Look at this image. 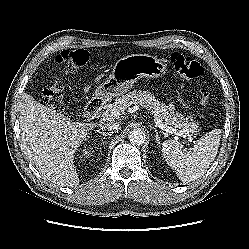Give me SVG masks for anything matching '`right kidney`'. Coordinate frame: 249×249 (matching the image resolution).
<instances>
[{
  "mask_svg": "<svg viewBox=\"0 0 249 249\" xmlns=\"http://www.w3.org/2000/svg\"><path fill=\"white\" fill-rule=\"evenodd\" d=\"M81 152H82V157L83 158H87V157H89L91 155L90 150L88 148H86V147Z\"/></svg>",
  "mask_w": 249,
  "mask_h": 249,
  "instance_id": "1",
  "label": "right kidney"
}]
</instances>
